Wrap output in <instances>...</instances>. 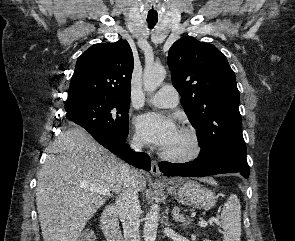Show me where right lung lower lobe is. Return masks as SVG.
Instances as JSON below:
<instances>
[{
	"label": "right lung lower lobe",
	"mask_w": 295,
	"mask_h": 241,
	"mask_svg": "<svg viewBox=\"0 0 295 241\" xmlns=\"http://www.w3.org/2000/svg\"><path fill=\"white\" fill-rule=\"evenodd\" d=\"M93 138L112 153H119L121 158L129 164L144 170H150V158L145 153H135L125 144L126 137L114 136L110 133L97 130L85 129Z\"/></svg>",
	"instance_id": "98d812e1"
}]
</instances>
